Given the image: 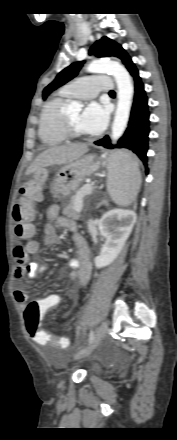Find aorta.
I'll return each mask as SVG.
<instances>
[{
  "label": "aorta",
  "instance_id": "1",
  "mask_svg": "<svg viewBox=\"0 0 177 440\" xmlns=\"http://www.w3.org/2000/svg\"><path fill=\"white\" fill-rule=\"evenodd\" d=\"M90 73H111L118 87V103L112 124V141H117L124 133L127 126L133 99V84L127 70L113 61L93 60L87 67ZM82 105L72 101L68 106L69 111H80Z\"/></svg>",
  "mask_w": 177,
  "mask_h": 440
}]
</instances>
